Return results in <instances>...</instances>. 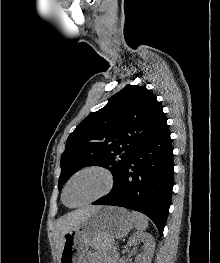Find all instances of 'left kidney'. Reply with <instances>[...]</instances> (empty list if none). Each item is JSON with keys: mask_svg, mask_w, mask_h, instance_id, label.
Returning <instances> with one entry per match:
<instances>
[{"mask_svg": "<svg viewBox=\"0 0 220 263\" xmlns=\"http://www.w3.org/2000/svg\"><path fill=\"white\" fill-rule=\"evenodd\" d=\"M143 242L144 252L136 258V263H150V260L154 253L155 242L154 238L149 233H135L128 241V246L134 243Z\"/></svg>", "mask_w": 220, "mask_h": 263, "instance_id": "1", "label": "left kidney"}]
</instances>
